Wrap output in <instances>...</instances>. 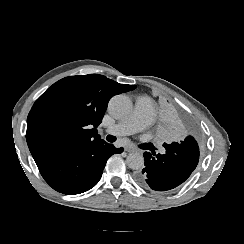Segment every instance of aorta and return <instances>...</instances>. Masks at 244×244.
<instances>
[{"label": "aorta", "mask_w": 244, "mask_h": 244, "mask_svg": "<svg viewBox=\"0 0 244 244\" xmlns=\"http://www.w3.org/2000/svg\"><path fill=\"white\" fill-rule=\"evenodd\" d=\"M108 110L112 116L121 119L132 112V102L123 94L115 95L108 103ZM126 164L133 170H141L144 167V158L139 153H130L126 158Z\"/></svg>", "instance_id": "762f6f07"}]
</instances>
